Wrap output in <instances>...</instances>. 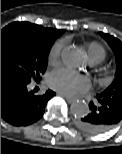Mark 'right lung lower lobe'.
<instances>
[{
	"instance_id": "1",
	"label": "right lung lower lobe",
	"mask_w": 122,
	"mask_h": 154,
	"mask_svg": "<svg viewBox=\"0 0 122 154\" xmlns=\"http://www.w3.org/2000/svg\"><path fill=\"white\" fill-rule=\"evenodd\" d=\"M30 83V82H29ZM29 83L15 78H1V118L14 126H27L38 121L55 92L48 90L35 94L29 90Z\"/></svg>"
}]
</instances>
